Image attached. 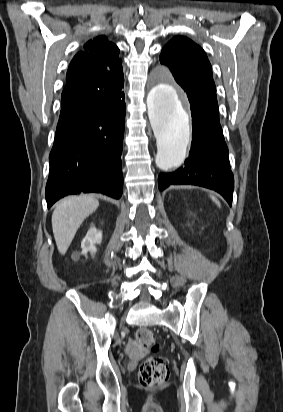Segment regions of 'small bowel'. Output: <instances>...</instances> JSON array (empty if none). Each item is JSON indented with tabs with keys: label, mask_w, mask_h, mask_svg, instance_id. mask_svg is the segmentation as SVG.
Here are the masks:
<instances>
[{
	"label": "small bowel",
	"mask_w": 283,
	"mask_h": 412,
	"mask_svg": "<svg viewBox=\"0 0 283 412\" xmlns=\"http://www.w3.org/2000/svg\"><path fill=\"white\" fill-rule=\"evenodd\" d=\"M125 354L131 360H138L145 354V350L140 344L130 340L125 347Z\"/></svg>",
	"instance_id": "1"
}]
</instances>
